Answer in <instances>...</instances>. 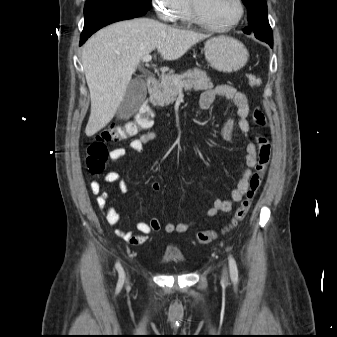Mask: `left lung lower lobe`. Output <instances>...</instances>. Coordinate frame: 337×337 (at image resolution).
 Instances as JSON below:
<instances>
[{"mask_svg": "<svg viewBox=\"0 0 337 337\" xmlns=\"http://www.w3.org/2000/svg\"><path fill=\"white\" fill-rule=\"evenodd\" d=\"M260 40L265 41L266 43L270 45V47H273V40H263V39H260Z\"/></svg>", "mask_w": 337, "mask_h": 337, "instance_id": "0a47b994", "label": "left lung lower lobe"}]
</instances>
